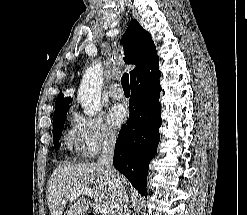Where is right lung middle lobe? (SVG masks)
<instances>
[{
    "label": "right lung middle lobe",
    "mask_w": 247,
    "mask_h": 215,
    "mask_svg": "<svg viewBox=\"0 0 247 215\" xmlns=\"http://www.w3.org/2000/svg\"><path fill=\"white\" fill-rule=\"evenodd\" d=\"M66 114L67 110H64L58 114H55L53 117V141L56 148L59 147L58 141L61 137Z\"/></svg>",
    "instance_id": "obj_1"
}]
</instances>
